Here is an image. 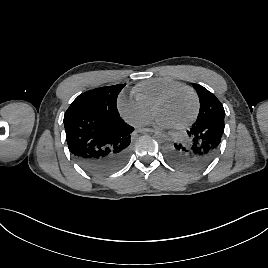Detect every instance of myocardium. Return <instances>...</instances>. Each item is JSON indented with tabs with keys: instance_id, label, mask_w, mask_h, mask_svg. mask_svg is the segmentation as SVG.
<instances>
[{
	"instance_id": "1",
	"label": "myocardium",
	"mask_w": 268,
	"mask_h": 268,
	"mask_svg": "<svg viewBox=\"0 0 268 268\" xmlns=\"http://www.w3.org/2000/svg\"><path fill=\"white\" fill-rule=\"evenodd\" d=\"M180 90H187L192 95V97L194 99V111L188 120H186L185 122H183L179 125L173 126L174 129H178V130L184 129V128L188 127L189 125H191L196 120V118L199 114V111H200L199 96L191 86L179 84V85H176V86L170 88L156 101L154 108H153L154 114L157 117V111H158V108L160 107V105L163 104L172 95H174L176 92H178Z\"/></svg>"
}]
</instances>
